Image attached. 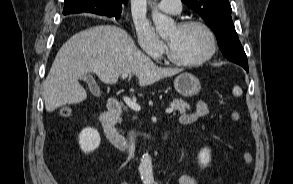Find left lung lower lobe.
Returning a JSON list of instances; mask_svg holds the SVG:
<instances>
[{
	"mask_svg": "<svg viewBox=\"0 0 293 184\" xmlns=\"http://www.w3.org/2000/svg\"><path fill=\"white\" fill-rule=\"evenodd\" d=\"M232 62L239 64L240 66H242L248 72L249 69H248L247 58L243 59V60L232 61Z\"/></svg>",
	"mask_w": 293,
	"mask_h": 184,
	"instance_id": "obj_1",
	"label": "left lung lower lobe"
}]
</instances>
